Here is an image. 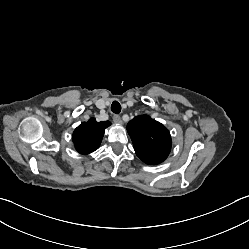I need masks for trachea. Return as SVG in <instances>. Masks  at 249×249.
I'll list each match as a JSON object with an SVG mask.
<instances>
[{
    "label": "trachea",
    "instance_id": "obj_1",
    "mask_svg": "<svg viewBox=\"0 0 249 249\" xmlns=\"http://www.w3.org/2000/svg\"><path fill=\"white\" fill-rule=\"evenodd\" d=\"M111 110L115 114H119L121 111V105L118 101H114L111 105Z\"/></svg>",
    "mask_w": 249,
    "mask_h": 249
}]
</instances>
